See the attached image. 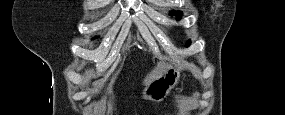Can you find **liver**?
Wrapping results in <instances>:
<instances>
[{
	"label": "liver",
	"mask_w": 285,
	"mask_h": 115,
	"mask_svg": "<svg viewBox=\"0 0 285 115\" xmlns=\"http://www.w3.org/2000/svg\"><path fill=\"white\" fill-rule=\"evenodd\" d=\"M169 68V65L163 62H159L157 64V67L154 68L144 79L143 84L148 85L152 80L159 78L161 75H163L167 69Z\"/></svg>",
	"instance_id": "1"
}]
</instances>
